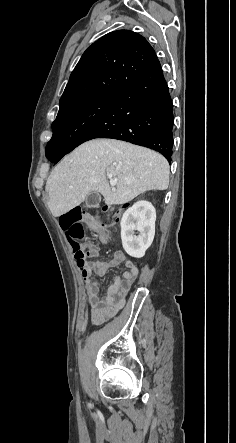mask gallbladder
Listing matches in <instances>:
<instances>
[{
	"instance_id": "obj_1",
	"label": "gallbladder",
	"mask_w": 236,
	"mask_h": 443,
	"mask_svg": "<svg viewBox=\"0 0 236 443\" xmlns=\"http://www.w3.org/2000/svg\"><path fill=\"white\" fill-rule=\"evenodd\" d=\"M100 201H101V194L98 192H92L85 199V206L92 208L99 205Z\"/></svg>"
}]
</instances>
